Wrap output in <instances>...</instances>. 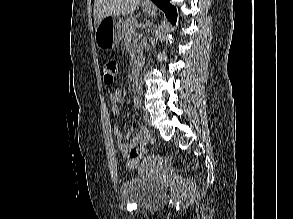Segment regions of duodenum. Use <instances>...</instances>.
<instances>
[{
  "mask_svg": "<svg viewBox=\"0 0 293 219\" xmlns=\"http://www.w3.org/2000/svg\"><path fill=\"white\" fill-rule=\"evenodd\" d=\"M141 67H142V65L139 61L134 63V65L131 68V73H130L132 79H135L139 75Z\"/></svg>",
  "mask_w": 293,
  "mask_h": 219,
  "instance_id": "410a0bca",
  "label": "duodenum"
}]
</instances>
